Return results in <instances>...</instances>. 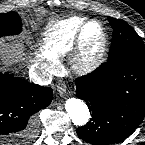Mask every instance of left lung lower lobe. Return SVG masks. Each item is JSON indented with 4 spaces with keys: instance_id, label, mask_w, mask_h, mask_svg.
I'll list each match as a JSON object with an SVG mask.
<instances>
[{
    "instance_id": "1",
    "label": "left lung lower lobe",
    "mask_w": 145,
    "mask_h": 145,
    "mask_svg": "<svg viewBox=\"0 0 145 145\" xmlns=\"http://www.w3.org/2000/svg\"><path fill=\"white\" fill-rule=\"evenodd\" d=\"M76 95L92 112L90 121L77 129L81 139L95 145L123 141L145 116V61L108 60L76 80Z\"/></svg>"
}]
</instances>
